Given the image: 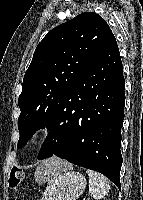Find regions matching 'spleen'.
<instances>
[{"mask_svg":"<svg viewBox=\"0 0 143 200\" xmlns=\"http://www.w3.org/2000/svg\"><path fill=\"white\" fill-rule=\"evenodd\" d=\"M87 174L89 176V192L95 200L102 199L108 194L110 190V185L106 177L102 174L87 169Z\"/></svg>","mask_w":143,"mask_h":200,"instance_id":"obj_1","label":"spleen"}]
</instances>
